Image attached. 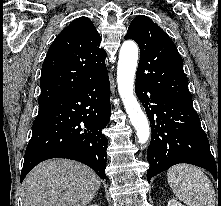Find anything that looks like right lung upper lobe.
<instances>
[{
    "instance_id": "1",
    "label": "right lung upper lobe",
    "mask_w": 221,
    "mask_h": 206,
    "mask_svg": "<svg viewBox=\"0 0 221 206\" xmlns=\"http://www.w3.org/2000/svg\"><path fill=\"white\" fill-rule=\"evenodd\" d=\"M100 41L87 17L75 19L56 37L42 66L39 106L69 96L108 73Z\"/></svg>"
}]
</instances>
